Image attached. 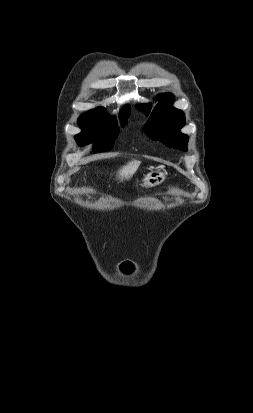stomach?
I'll return each instance as SVG.
<instances>
[{
	"label": "stomach",
	"mask_w": 253,
	"mask_h": 413,
	"mask_svg": "<svg viewBox=\"0 0 253 413\" xmlns=\"http://www.w3.org/2000/svg\"><path fill=\"white\" fill-rule=\"evenodd\" d=\"M166 174L160 170H151L143 175L142 186L145 188H154L165 181Z\"/></svg>",
	"instance_id": "1"
}]
</instances>
